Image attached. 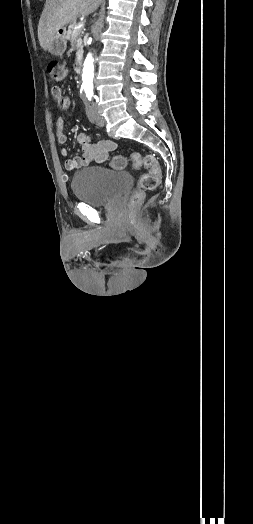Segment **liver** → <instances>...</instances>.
I'll list each match as a JSON object with an SVG mask.
<instances>
[{
  "instance_id": "liver-1",
  "label": "liver",
  "mask_w": 253,
  "mask_h": 524,
  "mask_svg": "<svg viewBox=\"0 0 253 524\" xmlns=\"http://www.w3.org/2000/svg\"><path fill=\"white\" fill-rule=\"evenodd\" d=\"M102 0H46L38 24L40 46L46 51L57 32L78 15L88 16L101 4Z\"/></svg>"
}]
</instances>
